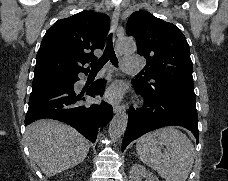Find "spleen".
Returning <instances> with one entry per match:
<instances>
[{
    "mask_svg": "<svg viewBox=\"0 0 228 181\" xmlns=\"http://www.w3.org/2000/svg\"><path fill=\"white\" fill-rule=\"evenodd\" d=\"M166 151L162 153L161 147ZM137 155L165 181H186L194 163L193 143L175 127L148 133L136 143Z\"/></svg>",
    "mask_w": 228,
    "mask_h": 181,
    "instance_id": "3e777b00",
    "label": "spleen"
}]
</instances>
